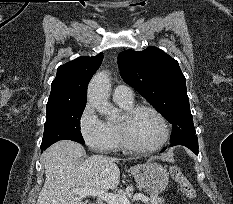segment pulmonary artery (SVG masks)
I'll return each mask as SVG.
<instances>
[{"label": "pulmonary artery", "mask_w": 233, "mask_h": 204, "mask_svg": "<svg viewBox=\"0 0 233 204\" xmlns=\"http://www.w3.org/2000/svg\"><path fill=\"white\" fill-rule=\"evenodd\" d=\"M113 99L115 101H131L133 100V92L128 86L118 85L114 88Z\"/></svg>", "instance_id": "e3ab8cb5"}]
</instances>
